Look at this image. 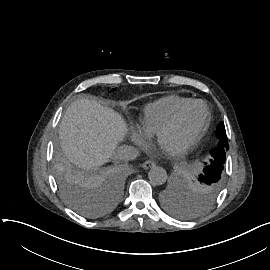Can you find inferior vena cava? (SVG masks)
Masks as SVG:
<instances>
[{
  "label": "inferior vena cava",
  "mask_w": 270,
  "mask_h": 270,
  "mask_svg": "<svg viewBox=\"0 0 270 270\" xmlns=\"http://www.w3.org/2000/svg\"><path fill=\"white\" fill-rule=\"evenodd\" d=\"M139 152L132 146L121 144L112 153V158L115 161L123 160L129 161L134 160L138 156Z\"/></svg>",
  "instance_id": "obj_1"
}]
</instances>
